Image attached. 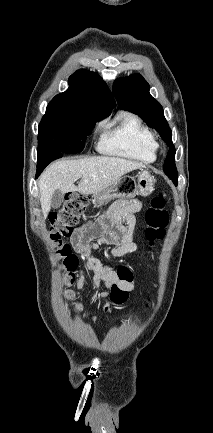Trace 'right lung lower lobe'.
Wrapping results in <instances>:
<instances>
[{"mask_svg":"<svg viewBox=\"0 0 213 433\" xmlns=\"http://www.w3.org/2000/svg\"><path fill=\"white\" fill-rule=\"evenodd\" d=\"M62 152H50L42 156H38L37 159V172L36 178L41 174L43 169L53 160L62 157Z\"/></svg>","mask_w":213,"mask_h":433,"instance_id":"right-lung-lower-lobe-1","label":"right lung lower lobe"}]
</instances>
